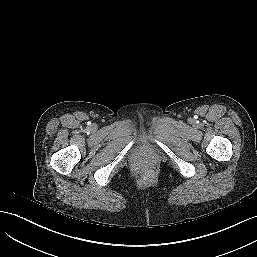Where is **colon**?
I'll use <instances>...</instances> for the list:
<instances>
[{"mask_svg": "<svg viewBox=\"0 0 257 257\" xmlns=\"http://www.w3.org/2000/svg\"><path fill=\"white\" fill-rule=\"evenodd\" d=\"M153 177V174L150 171L143 172L141 175V180L143 182L150 181Z\"/></svg>", "mask_w": 257, "mask_h": 257, "instance_id": "colon-1", "label": "colon"}]
</instances>
